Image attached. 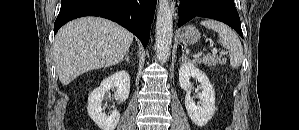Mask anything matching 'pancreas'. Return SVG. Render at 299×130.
Listing matches in <instances>:
<instances>
[{"label": "pancreas", "mask_w": 299, "mask_h": 130, "mask_svg": "<svg viewBox=\"0 0 299 130\" xmlns=\"http://www.w3.org/2000/svg\"><path fill=\"white\" fill-rule=\"evenodd\" d=\"M202 62L203 64H206L208 67L215 66L217 63H223L224 59L222 57H217L215 55H207L203 57L201 60L197 59L194 60L193 63L197 64Z\"/></svg>", "instance_id": "pancreas-1"}]
</instances>
